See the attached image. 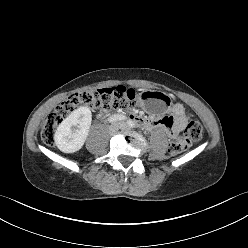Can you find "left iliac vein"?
<instances>
[{
	"mask_svg": "<svg viewBox=\"0 0 248 248\" xmlns=\"http://www.w3.org/2000/svg\"><path fill=\"white\" fill-rule=\"evenodd\" d=\"M120 128H121V129H126L127 127H126L125 124L121 123V124H120Z\"/></svg>",
	"mask_w": 248,
	"mask_h": 248,
	"instance_id": "left-iliac-vein-1",
	"label": "left iliac vein"
}]
</instances>
